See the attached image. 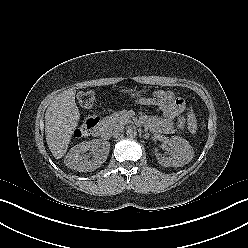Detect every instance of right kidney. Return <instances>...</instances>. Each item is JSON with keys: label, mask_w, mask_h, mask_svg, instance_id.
<instances>
[{"label": "right kidney", "mask_w": 248, "mask_h": 248, "mask_svg": "<svg viewBox=\"0 0 248 248\" xmlns=\"http://www.w3.org/2000/svg\"><path fill=\"white\" fill-rule=\"evenodd\" d=\"M90 150L92 158L85 153ZM110 144L107 141L94 139L91 141H83L67 153L64 163L70 168L79 172H91L99 168L107 159Z\"/></svg>", "instance_id": "obj_1"}]
</instances>
